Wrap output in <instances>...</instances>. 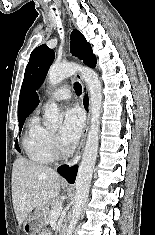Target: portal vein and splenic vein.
<instances>
[{
	"instance_id": "18ae733b",
	"label": "portal vein and splenic vein",
	"mask_w": 155,
	"mask_h": 235,
	"mask_svg": "<svg viewBox=\"0 0 155 235\" xmlns=\"http://www.w3.org/2000/svg\"><path fill=\"white\" fill-rule=\"evenodd\" d=\"M62 209H63V207H62L61 203L56 204L54 207H52L51 217L59 216L62 212Z\"/></svg>"
}]
</instances>
